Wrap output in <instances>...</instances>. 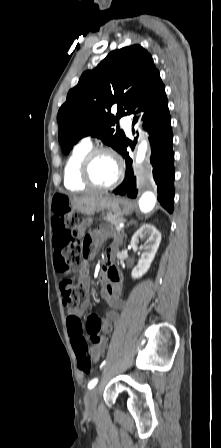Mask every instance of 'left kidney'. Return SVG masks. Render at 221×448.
Wrapping results in <instances>:
<instances>
[{
    "mask_svg": "<svg viewBox=\"0 0 221 448\" xmlns=\"http://www.w3.org/2000/svg\"><path fill=\"white\" fill-rule=\"evenodd\" d=\"M145 239V244L141 246L143 248L141 258L131 273V276L134 279L142 277L149 270L150 265L160 245L161 234L153 225H142L134 233L131 239V247L133 248V250H137L139 242Z\"/></svg>",
    "mask_w": 221,
    "mask_h": 448,
    "instance_id": "1",
    "label": "left kidney"
}]
</instances>
